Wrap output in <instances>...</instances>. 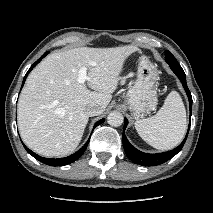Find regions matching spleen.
<instances>
[{
    "mask_svg": "<svg viewBox=\"0 0 213 213\" xmlns=\"http://www.w3.org/2000/svg\"><path fill=\"white\" fill-rule=\"evenodd\" d=\"M186 124L182 99L176 91H172L156 115L137 120L135 128L139 136L152 147L169 150L182 141Z\"/></svg>",
    "mask_w": 213,
    "mask_h": 213,
    "instance_id": "1",
    "label": "spleen"
}]
</instances>
